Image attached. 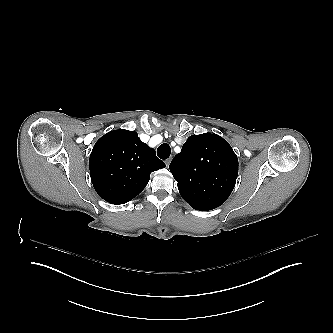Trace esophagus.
I'll return each instance as SVG.
<instances>
[{
    "label": "esophagus",
    "instance_id": "34e87169",
    "mask_svg": "<svg viewBox=\"0 0 333 333\" xmlns=\"http://www.w3.org/2000/svg\"><path fill=\"white\" fill-rule=\"evenodd\" d=\"M170 161H171L170 159H167V160H166V166H167V167L169 166Z\"/></svg>",
    "mask_w": 333,
    "mask_h": 333
}]
</instances>
